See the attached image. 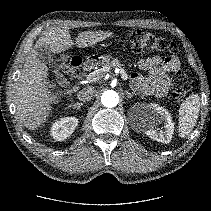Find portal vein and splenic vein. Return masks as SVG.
Returning <instances> with one entry per match:
<instances>
[{
    "label": "portal vein and splenic vein",
    "mask_w": 211,
    "mask_h": 211,
    "mask_svg": "<svg viewBox=\"0 0 211 211\" xmlns=\"http://www.w3.org/2000/svg\"><path fill=\"white\" fill-rule=\"evenodd\" d=\"M120 74H121V77L123 80L128 79V75L123 69H120ZM99 76H100L99 72L95 71V72L90 73L87 78L91 79V80H96V79H98Z\"/></svg>",
    "instance_id": "obj_1"
}]
</instances>
